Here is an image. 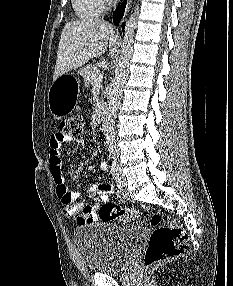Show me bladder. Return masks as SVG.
Listing matches in <instances>:
<instances>
[{"mask_svg": "<svg viewBox=\"0 0 233 286\" xmlns=\"http://www.w3.org/2000/svg\"><path fill=\"white\" fill-rule=\"evenodd\" d=\"M145 231L141 223H90L78 227L74 238L87 269L93 273H108L126 267Z\"/></svg>", "mask_w": 233, "mask_h": 286, "instance_id": "1", "label": "bladder"}]
</instances>
